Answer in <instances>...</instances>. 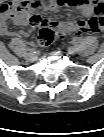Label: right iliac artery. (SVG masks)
I'll return each instance as SVG.
<instances>
[{"instance_id":"right-iliac-artery-1","label":"right iliac artery","mask_w":104,"mask_h":137,"mask_svg":"<svg viewBox=\"0 0 104 137\" xmlns=\"http://www.w3.org/2000/svg\"><path fill=\"white\" fill-rule=\"evenodd\" d=\"M27 50L30 52H34V48H28Z\"/></svg>"}]
</instances>
